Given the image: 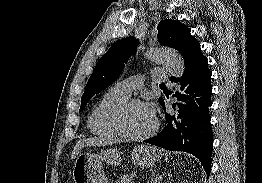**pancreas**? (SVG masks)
I'll list each match as a JSON object with an SVG mask.
<instances>
[{
  "label": "pancreas",
  "instance_id": "cf45deb5",
  "mask_svg": "<svg viewBox=\"0 0 262 183\" xmlns=\"http://www.w3.org/2000/svg\"><path fill=\"white\" fill-rule=\"evenodd\" d=\"M132 175H123L119 178V180L117 181V183H134L132 181Z\"/></svg>",
  "mask_w": 262,
  "mask_h": 183
}]
</instances>
